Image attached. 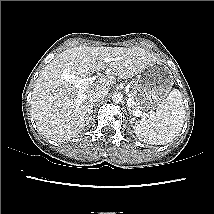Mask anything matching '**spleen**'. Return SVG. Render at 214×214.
<instances>
[{"mask_svg":"<svg viewBox=\"0 0 214 214\" xmlns=\"http://www.w3.org/2000/svg\"><path fill=\"white\" fill-rule=\"evenodd\" d=\"M185 120V107L179 90L173 89L157 107L156 113L135 122L138 139L152 145L171 142L180 132Z\"/></svg>","mask_w":214,"mask_h":214,"instance_id":"spleen-1","label":"spleen"}]
</instances>
